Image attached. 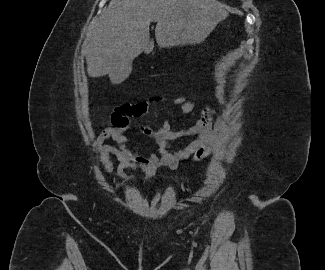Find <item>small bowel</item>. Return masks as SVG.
I'll use <instances>...</instances> for the list:
<instances>
[{"label":"small bowel","instance_id":"c3829d8e","mask_svg":"<svg viewBox=\"0 0 325 270\" xmlns=\"http://www.w3.org/2000/svg\"><path fill=\"white\" fill-rule=\"evenodd\" d=\"M166 101L180 106L183 115L188 114L193 109V103L183 96L172 99L164 96H153L133 103L117 104L113 114V125L104 128L96 141L100 149L101 164L107 174L111 175L113 172L112 158L118 162L116 167L118 177L124 181H129L134 179V176L125 171L135 165L142 167L146 171V179H149L158 167L176 169L182 160L191 157L194 161H199L211 154L216 144L215 137L210 130L215 114V110L211 107H205L201 118L187 129H174L167 120H164L158 129H152L138 123L137 126L141 133L157 144V153L141 155L137 149L130 150L126 147L128 144H132L131 139L125 135V131L130 126L129 118H139L149 112L152 103ZM218 125H221V121H218ZM191 136H197V138L184 148L177 150L170 148L172 141ZM107 140H112L116 145L105 144Z\"/></svg>","mask_w":325,"mask_h":270}]
</instances>
